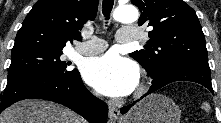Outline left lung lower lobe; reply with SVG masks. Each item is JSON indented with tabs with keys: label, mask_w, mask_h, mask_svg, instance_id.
I'll return each mask as SVG.
<instances>
[{
	"label": "left lung lower lobe",
	"mask_w": 221,
	"mask_h": 123,
	"mask_svg": "<svg viewBox=\"0 0 221 123\" xmlns=\"http://www.w3.org/2000/svg\"><path fill=\"white\" fill-rule=\"evenodd\" d=\"M175 81L196 82L213 92L209 66L187 62L172 65L163 69L160 74L153 78L152 86L141 98ZM135 103L136 102L123 107L121 113L125 114Z\"/></svg>",
	"instance_id": "obj_1"
}]
</instances>
